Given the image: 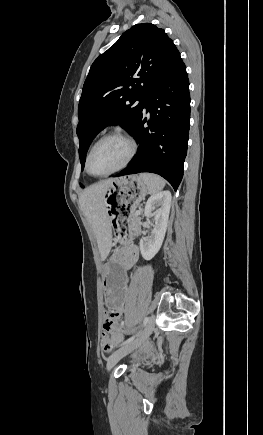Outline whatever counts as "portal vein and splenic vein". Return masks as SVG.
<instances>
[{"label": "portal vein and splenic vein", "instance_id": "obj_1", "mask_svg": "<svg viewBox=\"0 0 263 435\" xmlns=\"http://www.w3.org/2000/svg\"><path fill=\"white\" fill-rule=\"evenodd\" d=\"M136 213H137V214H140V211H137Z\"/></svg>", "mask_w": 263, "mask_h": 435}]
</instances>
